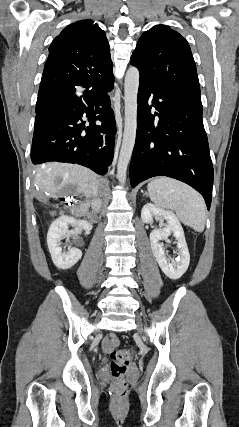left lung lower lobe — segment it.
Returning a JSON list of instances; mask_svg holds the SVG:
<instances>
[{
  "label": "left lung lower lobe",
  "instance_id": "0a47b994",
  "mask_svg": "<svg viewBox=\"0 0 239 427\" xmlns=\"http://www.w3.org/2000/svg\"><path fill=\"white\" fill-rule=\"evenodd\" d=\"M151 109L157 112L153 115ZM160 175L192 186L210 209L213 166L201 99L140 77L131 186Z\"/></svg>",
  "mask_w": 239,
  "mask_h": 427
}]
</instances>
